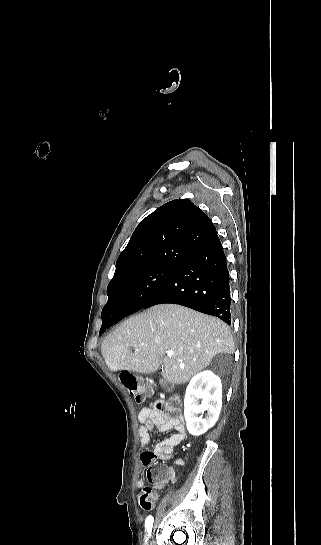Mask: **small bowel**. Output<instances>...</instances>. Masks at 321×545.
<instances>
[{"instance_id":"c3829d8e","label":"small bowel","mask_w":321,"mask_h":545,"mask_svg":"<svg viewBox=\"0 0 321 545\" xmlns=\"http://www.w3.org/2000/svg\"><path fill=\"white\" fill-rule=\"evenodd\" d=\"M140 423L138 435L142 446H146L149 442V432L153 429L159 432L173 431V433L157 443L154 447V453L151 455L144 452L141 455V464L146 467L147 480L155 483L154 476L156 472L162 471L160 483L175 480L174 467H181L184 461L181 458L175 459L171 465L165 464L172 458L173 449L187 439V431L184 420L180 415L176 402L171 400L167 402H153L150 406L142 408L138 414ZM162 462L155 465V460ZM146 481L139 479L137 487H145Z\"/></svg>"}]
</instances>
